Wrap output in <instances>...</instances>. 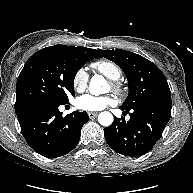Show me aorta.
<instances>
[{"label": "aorta", "instance_id": "762f6f07", "mask_svg": "<svg viewBox=\"0 0 193 193\" xmlns=\"http://www.w3.org/2000/svg\"><path fill=\"white\" fill-rule=\"evenodd\" d=\"M107 82L101 75H95L91 78L89 84V91L92 95H100L105 92ZM98 121L103 126H110L113 123V115L110 112H101L98 116Z\"/></svg>", "mask_w": 193, "mask_h": 193}]
</instances>
